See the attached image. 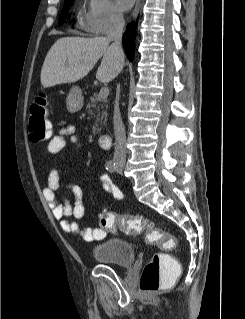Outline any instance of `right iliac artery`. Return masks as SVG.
Here are the masks:
<instances>
[{"label":"right iliac artery","mask_w":245,"mask_h":319,"mask_svg":"<svg viewBox=\"0 0 245 319\" xmlns=\"http://www.w3.org/2000/svg\"><path fill=\"white\" fill-rule=\"evenodd\" d=\"M106 169H107L109 172H111V173L115 172V171H116V164H115V162L112 161V160L107 161V163H106ZM118 198H122V193H121L120 196H118Z\"/></svg>","instance_id":"82829eb1"}]
</instances>
